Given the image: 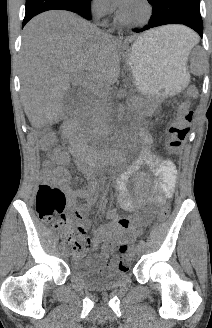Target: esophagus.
<instances>
[{"label":"esophagus","instance_id":"obj_1","mask_svg":"<svg viewBox=\"0 0 212 328\" xmlns=\"http://www.w3.org/2000/svg\"><path fill=\"white\" fill-rule=\"evenodd\" d=\"M117 38H118V40H119L120 42L125 41V35H124V33H123L122 30H118V32H117Z\"/></svg>","mask_w":212,"mask_h":328}]
</instances>
